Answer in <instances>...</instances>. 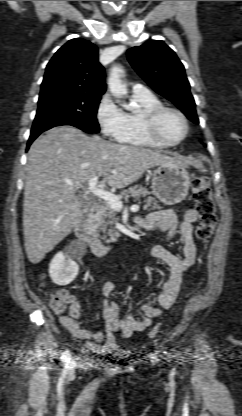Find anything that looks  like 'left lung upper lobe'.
<instances>
[{"label": "left lung upper lobe", "instance_id": "5c2ea615", "mask_svg": "<svg viewBox=\"0 0 242 416\" xmlns=\"http://www.w3.org/2000/svg\"><path fill=\"white\" fill-rule=\"evenodd\" d=\"M127 58L149 86L173 102L191 121L199 123L184 66L170 47L163 41L151 40L129 49Z\"/></svg>", "mask_w": 242, "mask_h": 416}]
</instances>
